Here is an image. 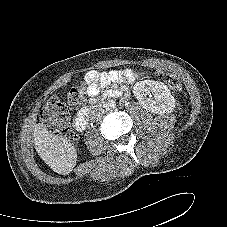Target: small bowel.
Returning a JSON list of instances; mask_svg holds the SVG:
<instances>
[{"label":"small bowel","mask_w":227,"mask_h":227,"mask_svg":"<svg viewBox=\"0 0 227 227\" xmlns=\"http://www.w3.org/2000/svg\"><path fill=\"white\" fill-rule=\"evenodd\" d=\"M140 75V73L135 72L131 69L114 70L109 72H98L96 70L88 71L85 74L88 96H96L101 86H105L110 83L124 84L132 82Z\"/></svg>","instance_id":"small-bowel-1"}]
</instances>
